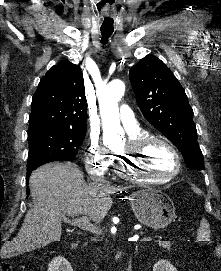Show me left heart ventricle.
<instances>
[{
	"label": "left heart ventricle",
	"mask_w": 221,
	"mask_h": 271,
	"mask_svg": "<svg viewBox=\"0 0 221 271\" xmlns=\"http://www.w3.org/2000/svg\"><path fill=\"white\" fill-rule=\"evenodd\" d=\"M147 141H160L149 139ZM169 147H160L159 144H141L140 156H131V161L119 160V165L140 164L142 169H150V172H172L171 155L167 153ZM160 166V168H159Z\"/></svg>",
	"instance_id": "b2bd125f"
}]
</instances>
